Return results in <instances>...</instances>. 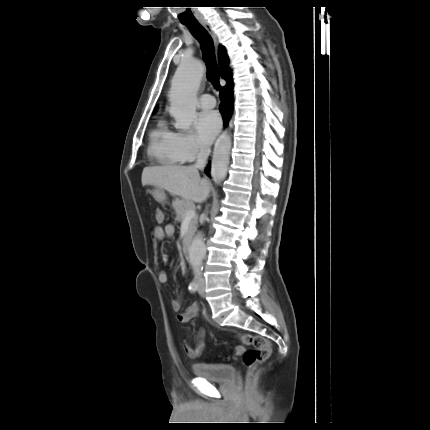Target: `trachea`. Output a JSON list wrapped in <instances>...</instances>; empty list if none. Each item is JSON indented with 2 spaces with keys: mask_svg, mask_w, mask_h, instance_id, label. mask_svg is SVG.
I'll use <instances>...</instances> for the list:
<instances>
[{
  "mask_svg": "<svg viewBox=\"0 0 430 430\" xmlns=\"http://www.w3.org/2000/svg\"><path fill=\"white\" fill-rule=\"evenodd\" d=\"M191 34L200 42L203 59L207 65V79L215 88L220 87L219 68L215 59L213 39L199 23H184Z\"/></svg>",
  "mask_w": 430,
  "mask_h": 430,
  "instance_id": "3493384b",
  "label": "trachea"
}]
</instances>
